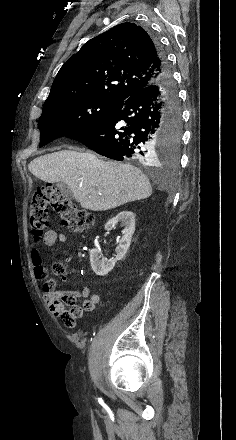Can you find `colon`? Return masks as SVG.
I'll return each instance as SVG.
<instances>
[{
    "instance_id": "colon-1",
    "label": "colon",
    "mask_w": 236,
    "mask_h": 440,
    "mask_svg": "<svg viewBox=\"0 0 236 440\" xmlns=\"http://www.w3.org/2000/svg\"><path fill=\"white\" fill-rule=\"evenodd\" d=\"M53 208L58 216L61 218L65 226L72 233H82L90 228L94 223V215L75 204L72 200L62 195L53 186H43L36 188L30 197L29 215L30 224L35 241H38L45 233L48 225V211ZM50 271L53 276H61L65 269L62 263L54 262ZM41 274H45V270H40ZM43 289L50 294L54 302L60 305L63 313L62 321L66 324L67 321H75L74 318L67 312L69 303L66 298L56 288L54 279H48L44 283Z\"/></svg>"
}]
</instances>
